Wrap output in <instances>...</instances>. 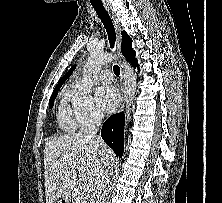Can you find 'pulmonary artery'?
Wrapping results in <instances>:
<instances>
[{
	"label": "pulmonary artery",
	"mask_w": 222,
	"mask_h": 203,
	"mask_svg": "<svg viewBox=\"0 0 222 203\" xmlns=\"http://www.w3.org/2000/svg\"><path fill=\"white\" fill-rule=\"evenodd\" d=\"M99 80L103 84H108L112 81V73L108 69H104L99 73Z\"/></svg>",
	"instance_id": "e3ab8cb5"
}]
</instances>
